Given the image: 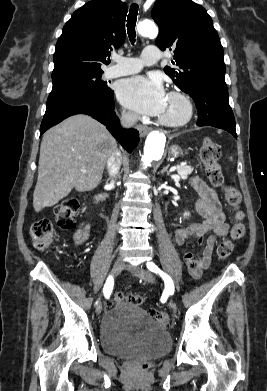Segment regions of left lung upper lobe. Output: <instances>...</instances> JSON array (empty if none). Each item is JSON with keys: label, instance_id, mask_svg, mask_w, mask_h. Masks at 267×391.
Here are the masks:
<instances>
[{"label": "left lung upper lobe", "instance_id": "obj_1", "mask_svg": "<svg viewBox=\"0 0 267 391\" xmlns=\"http://www.w3.org/2000/svg\"><path fill=\"white\" fill-rule=\"evenodd\" d=\"M152 18L160 28L156 45L174 52L165 73L188 93L202 85L227 87L223 48L207 11L192 0H157Z\"/></svg>", "mask_w": 267, "mask_h": 391}]
</instances>
